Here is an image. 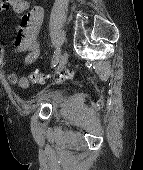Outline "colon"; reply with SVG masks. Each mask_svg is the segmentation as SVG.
I'll use <instances>...</instances> for the list:
<instances>
[{
  "instance_id": "1",
  "label": "colon",
  "mask_w": 143,
  "mask_h": 170,
  "mask_svg": "<svg viewBox=\"0 0 143 170\" xmlns=\"http://www.w3.org/2000/svg\"><path fill=\"white\" fill-rule=\"evenodd\" d=\"M4 2V0H0V3ZM52 77V74L47 73V72H40V71H34L30 75V81L34 84H42L46 80L50 79ZM72 77V74L70 72H66L64 75H62L59 78V81L67 80ZM25 84L22 83V86Z\"/></svg>"
}]
</instances>
